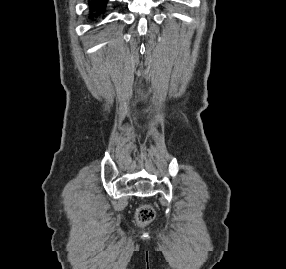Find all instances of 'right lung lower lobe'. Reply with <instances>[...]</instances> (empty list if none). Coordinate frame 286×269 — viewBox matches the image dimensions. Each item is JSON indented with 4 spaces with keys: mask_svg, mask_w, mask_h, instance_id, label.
<instances>
[{
    "mask_svg": "<svg viewBox=\"0 0 286 269\" xmlns=\"http://www.w3.org/2000/svg\"><path fill=\"white\" fill-rule=\"evenodd\" d=\"M107 3V0H91L89 5L90 9L96 11L97 14H101L104 11V6Z\"/></svg>",
    "mask_w": 286,
    "mask_h": 269,
    "instance_id": "1",
    "label": "right lung lower lobe"
}]
</instances>
